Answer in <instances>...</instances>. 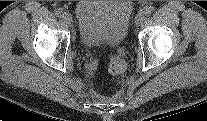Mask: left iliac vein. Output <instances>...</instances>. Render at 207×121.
I'll use <instances>...</instances> for the list:
<instances>
[{
  "instance_id": "1",
  "label": "left iliac vein",
  "mask_w": 207,
  "mask_h": 121,
  "mask_svg": "<svg viewBox=\"0 0 207 121\" xmlns=\"http://www.w3.org/2000/svg\"><path fill=\"white\" fill-rule=\"evenodd\" d=\"M144 15L142 12L138 13L137 16L135 17V24L137 26H140L142 24V22L144 21Z\"/></svg>"
}]
</instances>
